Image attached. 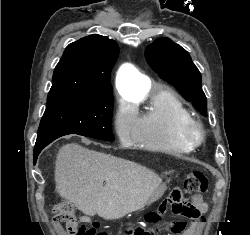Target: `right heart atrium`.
<instances>
[{
    "mask_svg": "<svg viewBox=\"0 0 250 235\" xmlns=\"http://www.w3.org/2000/svg\"><path fill=\"white\" fill-rule=\"evenodd\" d=\"M113 128L119 141L124 145L135 142L138 122L135 111L122 102L116 104L113 114Z\"/></svg>",
    "mask_w": 250,
    "mask_h": 235,
    "instance_id": "obj_1",
    "label": "right heart atrium"
}]
</instances>
